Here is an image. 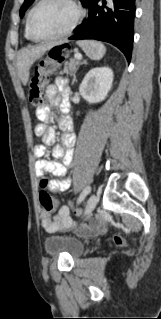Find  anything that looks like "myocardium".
Segmentation results:
<instances>
[{
	"mask_svg": "<svg viewBox=\"0 0 161 319\" xmlns=\"http://www.w3.org/2000/svg\"><path fill=\"white\" fill-rule=\"evenodd\" d=\"M49 0H40L31 10L30 15L28 17V22H27V32H28V36L31 40L33 41H38V42H43V41H52V40H57L60 39L62 37L67 36L68 34H70L74 28L77 26L78 22L81 20L82 16H83V10L82 7L80 6V4L78 3L77 0H65L67 3H69L71 5V7L74 10V15L72 20L70 21V23L66 26V28L64 30H62L61 32L52 35V36H48V37H37L34 35L33 30H32V21L34 18V15L36 14L37 10L46 2H48Z\"/></svg>",
	"mask_w": 161,
	"mask_h": 319,
	"instance_id": "f54148a6",
	"label": "myocardium"
}]
</instances>
